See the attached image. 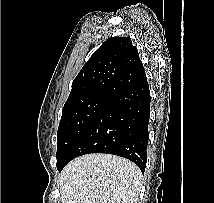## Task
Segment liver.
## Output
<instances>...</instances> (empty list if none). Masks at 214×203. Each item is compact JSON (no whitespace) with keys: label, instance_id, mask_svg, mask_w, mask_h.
Segmentation results:
<instances>
[{"label":"liver","instance_id":"liver-1","mask_svg":"<svg viewBox=\"0 0 214 203\" xmlns=\"http://www.w3.org/2000/svg\"><path fill=\"white\" fill-rule=\"evenodd\" d=\"M140 169L111 154H87L69 162L59 179L61 203H138Z\"/></svg>","mask_w":214,"mask_h":203}]
</instances>
